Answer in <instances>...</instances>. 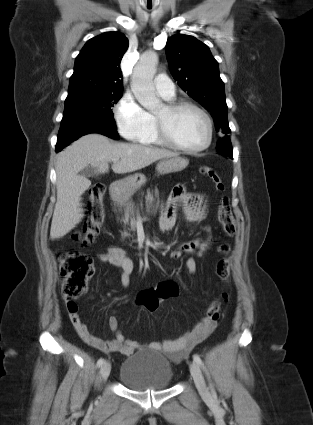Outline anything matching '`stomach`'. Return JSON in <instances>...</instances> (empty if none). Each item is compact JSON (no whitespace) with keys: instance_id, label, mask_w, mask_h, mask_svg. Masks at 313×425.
I'll return each instance as SVG.
<instances>
[{"instance_id":"obj_1","label":"stomach","mask_w":313,"mask_h":425,"mask_svg":"<svg viewBox=\"0 0 313 425\" xmlns=\"http://www.w3.org/2000/svg\"><path fill=\"white\" fill-rule=\"evenodd\" d=\"M189 160L183 157H172L161 160L156 167L158 174L180 172L187 167ZM144 174L136 173L114 183V195L118 198L129 197L146 183Z\"/></svg>"}]
</instances>
